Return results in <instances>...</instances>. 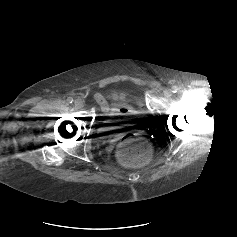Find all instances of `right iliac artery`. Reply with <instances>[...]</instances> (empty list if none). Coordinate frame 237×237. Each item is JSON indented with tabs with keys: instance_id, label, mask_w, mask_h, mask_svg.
Listing matches in <instances>:
<instances>
[{
	"instance_id": "obj_1",
	"label": "right iliac artery",
	"mask_w": 237,
	"mask_h": 237,
	"mask_svg": "<svg viewBox=\"0 0 237 237\" xmlns=\"http://www.w3.org/2000/svg\"><path fill=\"white\" fill-rule=\"evenodd\" d=\"M67 102H68V103H72V102H73V98H72V97H68V98H67Z\"/></svg>"
}]
</instances>
